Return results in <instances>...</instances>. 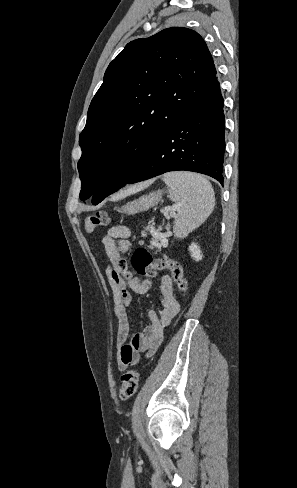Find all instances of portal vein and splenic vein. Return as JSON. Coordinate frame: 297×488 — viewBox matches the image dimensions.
<instances>
[{
    "label": "portal vein and splenic vein",
    "mask_w": 297,
    "mask_h": 488,
    "mask_svg": "<svg viewBox=\"0 0 297 488\" xmlns=\"http://www.w3.org/2000/svg\"><path fill=\"white\" fill-rule=\"evenodd\" d=\"M176 208H177V206H176V205H175V206H173V207H166V208H165V209H164L162 212H163V213H164V214H165L167 217H169V216H172V215H173L174 210H175ZM169 213H170V215H169Z\"/></svg>",
    "instance_id": "portal-vein-and-splenic-vein-1"
}]
</instances>
